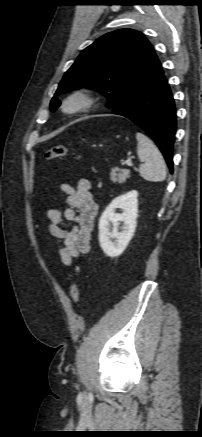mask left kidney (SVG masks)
Instances as JSON below:
<instances>
[{
    "instance_id": "left-kidney-1",
    "label": "left kidney",
    "mask_w": 202,
    "mask_h": 437,
    "mask_svg": "<svg viewBox=\"0 0 202 437\" xmlns=\"http://www.w3.org/2000/svg\"><path fill=\"white\" fill-rule=\"evenodd\" d=\"M137 197L136 190L116 197L100 217L99 242L102 250L109 257L121 255L134 235L138 217ZM117 208H120L123 213H116ZM120 222L123 223L121 232Z\"/></svg>"
}]
</instances>
